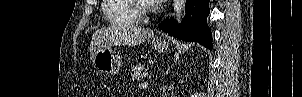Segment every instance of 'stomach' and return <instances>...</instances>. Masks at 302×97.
<instances>
[{"instance_id": "1", "label": "stomach", "mask_w": 302, "mask_h": 97, "mask_svg": "<svg viewBox=\"0 0 302 97\" xmlns=\"http://www.w3.org/2000/svg\"><path fill=\"white\" fill-rule=\"evenodd\" d=\"M152 47L156 51L163 53L168 49V42L165 39L154 38ZM92 62L99 72L106 74H117L122 65L120 57L111 46L99 47L94 53Z\"/></svg>"}]
</instances>
